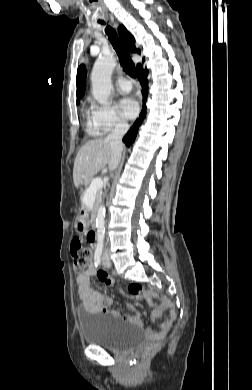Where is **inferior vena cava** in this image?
Instances as JSON below:
<instances>
[{"label": "inferior vena cava", "instance_id": "obj_1", "mask_svg": "<svg viewBox=\"0 0 252 390\" xmlns=\"http://www.w3.org/2000/svg\"><path fill=\"white\" fill-rule=\"evenodd\" d=\"M128 129V124H118L113 132L107 137L111 146V160L109 162L110 170H115L120 162L123 149L122 138L127 133Z\"/></svg>", "mask_w": 252, "mask_h": 390}]
</instances>
